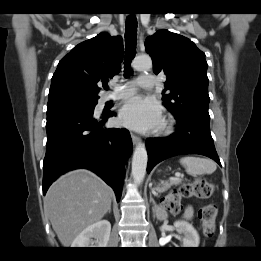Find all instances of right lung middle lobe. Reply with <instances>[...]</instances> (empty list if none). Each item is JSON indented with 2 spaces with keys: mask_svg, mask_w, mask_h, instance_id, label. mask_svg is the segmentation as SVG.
I'll use <instances>...</instances> for the list:
<instances>
[{
  "mask_svg": "<svg viewBox=\"0 0 261 261\" xmlns=\"http://www.w3.org/2000/svg\"><path fill=\"white\" fill-rule=\"evenodd\" d=\"M97 100L76 97H56L48 100L47 115L66 110L94 111Z\"/></svg>",
  "mask_w": 261,
  "mask_h": 261,
  "instance_id": "right-lung-middle-lobe-1",
  "label": "right lung middle lobe"
}]
</instances>
